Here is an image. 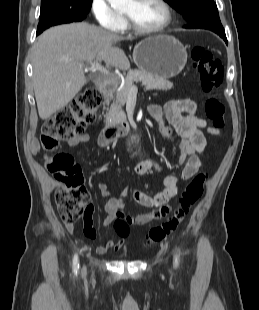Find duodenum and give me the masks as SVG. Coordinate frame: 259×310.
I'll return each mask as SVG.
<instances>
[{
	"label": "duodenum",
	"instance_id": "duodenum-1",
	"mask_svg": "<svg viewBox=\"0 0 259 310\" xmlns=\"http://www.w3.org/2000/svg\"><path fill=\"white\" fill-rule=\"evenodd\" d=\"M116 86V81L105 78L102 79L99 83V88L101 91L107 95L109 94ZM129 128V123L127 121H113L110 122L106 128L101 133V140L103 143H110L124 135Z\"/></svg>",
	"mask_w": 259,
	"mask_h": 310
}]
</instances>
